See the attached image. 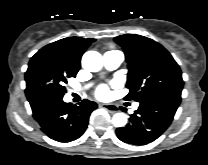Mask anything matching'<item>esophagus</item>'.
<instances>
[{"label": "esophagus", "mask_w": 208, "mask_h": 165, "mask_svg": "<svg viewBox=\"0 0 208 165\" xmlns=\"http://www.w3.org/2000/svg\"><path fill=\"white\" fill-rule=\"evenodd\" d=\"M99 106L105 110H107L108 112L110 113H115L117 112V108L112 105V104H103V103H100Z\"/></svg>", "instance_id": "esophagus-1"}]
</instances>
